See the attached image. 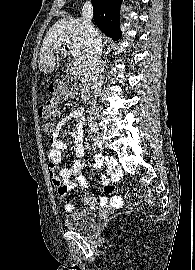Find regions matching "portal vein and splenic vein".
I'll return each mask as SVG.
<instances>
[{
  "instance_id": "1",
  "label": "portal vein and splenic vein",
  "mask_w": 195,
  "mask_h": 270,
  "mask_svg": "<svg viewBox=\"0 0 195 270\" xmlns=\"http://www.w3.org/2000/svg\"><path fill=\"white\" fill-rule=\"evenodd\" d=\"M63 43H64V44H67V45H70V44H71V42H70L69 39L63 40ZM70 54H71L73 57H79V55L81 54V52H80V50H78V49H72V50L70 51Z\"/></svg>"
}]
</instances>
